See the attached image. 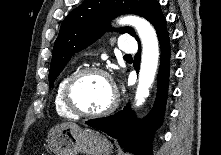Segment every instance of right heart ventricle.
I'll return each mask as SVG.
<instances>
[{"label":"right heart ventricle","mask_w":221,"mask_h":155,"mask_svg":"<svg viewBox=\"0 0 221 155\" xmlns=\"http://www.w3.org/2000/svg\"><path fill=\"white\" fill-rule=\"evenodd\" d=\"M72 74L73 72H69L60 79L55 90L54 105H55V109L58 115L65 117V118L74 119L77 116L73 114L71 111H69L63 102V89H64L66 82L68 81V79L70 78Z\"/></svg>","instance_id":"obj_1"}]
</instances>
